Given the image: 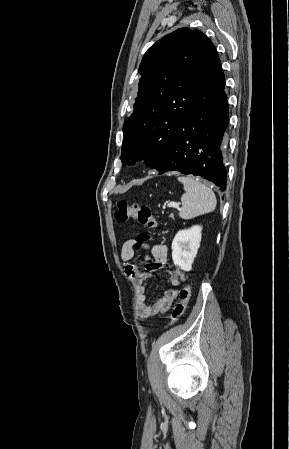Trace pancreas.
<instances>
[{
	"mask_svg": "<svg viewBox=\"0 0 289 449\" xmlns=\"http://www.w3.org/2000/svg\"><path fill=\"white\" fill-rule=\"evenodd\" d=\"M170 218H171V219H174V216H173V214H171V215H170Z\"/></svg>",
	"mask_w": 289,
	"mask_h": 449,
	"instance_id": "obj_1",
	"label": "pancreas"
}]
</instances>
